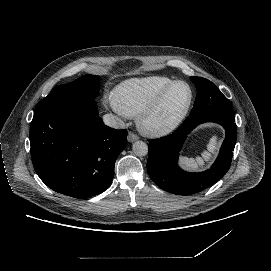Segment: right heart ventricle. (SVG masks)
<instances>
[{
	"instance_id": "obj_1",
	"label": "right heart ventricle",
	"mask_w": 271,
	"mask_h": 271,
	"mask_svg": "<svg viewBox=\"0 0 271 271\" xmlns=\"http://www.w3.org/2000/svg\"><path fill=\"white\" fill-rule=\"evenodd\" d=\"M173 81L168 76L154 75L123 82L116 89V98L124 115L140 116Z\"/></svg>"
}]
</instances>
